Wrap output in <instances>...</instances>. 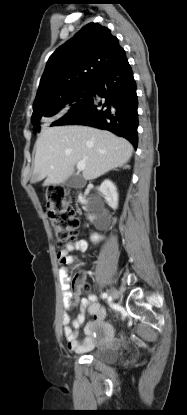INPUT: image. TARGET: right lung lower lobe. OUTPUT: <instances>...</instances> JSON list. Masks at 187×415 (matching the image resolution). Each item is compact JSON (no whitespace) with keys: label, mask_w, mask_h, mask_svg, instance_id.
Listing matches in <instances>:
<instances>
[{"label":"right lung lower lobe","mask_w":187,"mask_h":415,"mask_svg":"<svg viewBox=\"0 0 187 415\" xmlns=\"http://www.w3.org/2000/svg\"><path fill=\"white\" fill-rule=\"evenodd\" d=\"M137 107L136 82L123 51L93 80L91 94L51 126L78 124L105 129L126 138L136 149Z\"/></svg>","instance_id":"1"}]
</instances>
